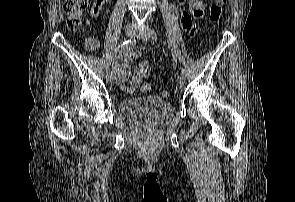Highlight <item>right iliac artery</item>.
I'll return each instance as SVG.
<instances>
[{
  "mask_svg": "<svg viewBox=\"0 0 295 202\" xmlns=\"http://www.w3.org/2000/svg\"><path fill=\"white\" fill-rule=\"evenodd\" d=\"M137 38L138 37H136V38L134 37L133 39H130V40H127V41H124L123 43H121L117 48L114 49L113 55L116 54L120 50H125V49L130 48L131 46H134L136 44ZM110 65H111V62L109 61L107 63V70L110 69Z\"/></svg>",
  "mask_w": 295,
  "mask_h": 202,
  "instance_id": "right-iliac-artery-1",
  "label": "right iliac artery"
}]
</instances>
